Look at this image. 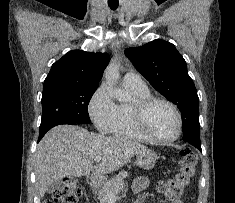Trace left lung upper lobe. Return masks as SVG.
<instances>
[{"mask_svg": "<svg viewBox=\"0 0 235 203\" xmlns=\"http://www.w3.org/2000/svg\"><path fill=\"white\" fill-rule=\"evenodd\" d=\"M126 56L150 84L179 108L184 134L200 142L199 98L187 65L172 43L153 40L125 50Z\"/></svg>", "mask_w": 235, "mask_h": 203, "instance_id": "obj_1", "label": "left lung upper lobe"}]
</instances>
